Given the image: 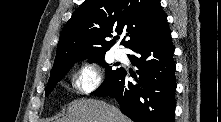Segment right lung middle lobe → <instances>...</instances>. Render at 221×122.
I'll use <instances>...</instances> for the list:
<instances>
[{
  "label": "right lung middle lobe",
  "instance_id": "dd1d6c3e",
  "mask_svg": "<svg viewBox=\"0 0 221 122\" xmlns=\"http://www.w3.org/2000/svg\"><path fill=\"white\" fill-rule=\"evenodd\" d=\"M89 62H98L102 64L103 67H105L106 71V79L104 83L101 85L100 88H98L94 93H97L99 91H102L106 87H108L109 83L111 80L121 71L122 68H117V69H112V67L108 66L105 61H104V56L92 58L89 60ZM73 65V64H72ZM72 65L58 71L55 74L50 75L48 85L46 88L45 96H48L50 92L54 89L55 85L57 84L58 81L61 80L65 76V74L68 72V70L72 67Z\"/></svg>",
  "mask_w": 221,
  "mask_h": 122
}]
</instances>
